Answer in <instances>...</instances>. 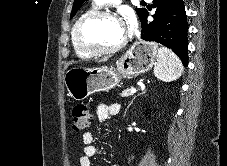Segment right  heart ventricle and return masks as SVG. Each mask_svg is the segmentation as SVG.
<instances>
[{
    "instance_id": "1",
    "label": "right heart ventricle",
    "mask_w": 227,
    "mask_h": 166,
    "mask_svg": "<svg viewBox=\"0 0 227 166\" xmlns=\"http://www.w3.org/2000/svg\"><path fill=\"white\" fill-rule=\"evenodd\" d=\"M95 10H96V7H93V8H91V9H89L88 11L84 12L82 15H80V16L78 17V19L76 20V22H75V24H74V27L72 28V31H71V43H72V48H73L75 54H76L77 56L81 57V58H89V57H91V55H88V54L82 52V51L79 50V49L77 48V46L75 45L74 40H73L74 28H75V25L77 24V22H78L83 16H85L86 14H88V13H90V12H92V11H95Z\"/></svg>"
}]
</instances>
